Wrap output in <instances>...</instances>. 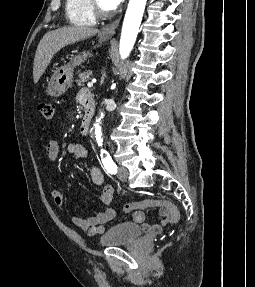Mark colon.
Masks as SVG:
<instances>
[{
  "label": "colon",
  "mask_w": 255,
  "mask_h": 287,
  "mask_svg": "<svg viewBox=\"0 0 255 287\" xmlns=\"http://www.w3.org/2000/svg\"><path fill=\"white\" fill-rule=\"evenodd\" d=\"M38 110L45 121L49 122L53 119L54 106L51 103L43 102L39 104ZM153 206H159L164 208L171 219V224H173L174 226H177L180 223L181 215L179 210L174 204L166 200L146 199L142 201L129 202L123 206V212L129 213L132 211L141 210Z\"/></svg>",
  "instance_id": "colon-1"
}]
</instances>
